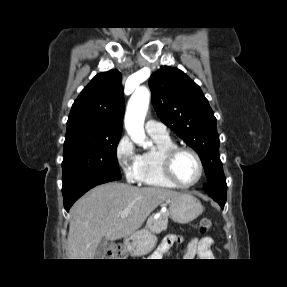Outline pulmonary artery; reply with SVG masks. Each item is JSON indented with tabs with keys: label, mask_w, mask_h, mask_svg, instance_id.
I'll return each instance as SVG.
<instances>
[{
	"label": "pulmonary artery",
	"mask_w": 287,
	"mask_h": 287,
	"mask_svg": "<svg viewBox=\"0 0 287 287\" xmlns=\"http://www.w3.org/2000/svg\"><path fill=\"white\" fill-rule=\"evenodd\" d=\"M145 128L147 133L151 136H158V137L169 136L166 125L154 119L147 120Z\"/></svg>",
	"instance_id": "pulmonary-artery-1"
}]
</instances>
